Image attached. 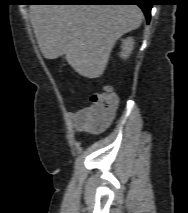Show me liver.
I'll list each match as a JSON object with an SVG mask.
<instances>
[{
	"label": "liver",
	"mask_w": 188,
	"mask_h": 213,
	"mask_svg": "<svg viewBox=\"0 0 188 213\" xmlns=\"http://www.w3.org/2000/svg\"><path fill=\"white\" fill-rule=\"evenodd\" d=\"M30 18L43 56H65L81 76L100 77L116 41L142 22L136 5L35 4Z\"/></svg>",
	"instance_id": "6515ba94"
}]
</instances>
